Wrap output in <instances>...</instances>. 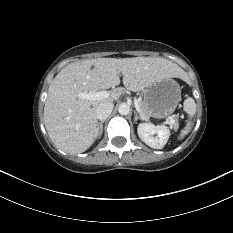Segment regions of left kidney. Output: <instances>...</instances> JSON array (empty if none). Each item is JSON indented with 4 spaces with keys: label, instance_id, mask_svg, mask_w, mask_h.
Segmentation results:
<instances>
[{
    "label": "left kidney",
    "instance_id": "left-kidney-1",
    "mask_svg": "<svg viewBox=\"0 0 233 233\" xmlns=\"http://www.w3.org/2000/svg\"><path fill=\"white\" fill-rule=\"evenodd\" d=\"M137 132L140 139L154 149H162L170 136V130L166 126H155L150 123H140ZM155 134L157 136L154 137Z\"/></svg>",
    "mask_w": 233,
    "mask_h": 233
}]
</instances>
